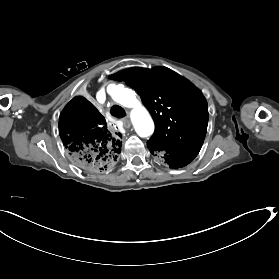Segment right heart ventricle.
I'll use <instances>...</instances> for the list:
<instances>
[{
	"label": "right heart ventricle",
	"instance_id": "right-heart-ventricle-1",
	"mask_svg": "<svg viewBox=\"0 0 279 279\" xmlns=\"http://www.w3.org/2000/svg\"><path fill=\"white\" fill-rule=\"evenodd\" d=\"M101 58L100 56H90V57H85L82 59V63L86 66H92L91 72L89 73H97L102 69V64H101ZM109 92L114 98V101L117 105H119L123 109H127L131 106V101L137 95V93L133 90H130L126 88L122 84H110L108 86ZM101 91L103 90L102 88L100 89Z\"/></svg>",
	"mask_w": 279,
	"mask_h": 279
}]
</instances>
